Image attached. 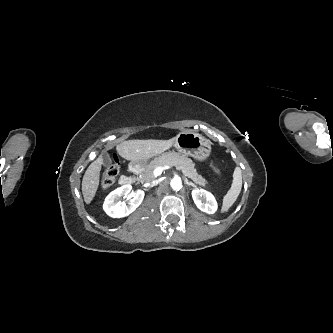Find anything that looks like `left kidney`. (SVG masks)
Here are the masks:
<instances>
[{"instance_id": "5707ae66", "label": "left kidney", "mask_w": 333, "mask_h": 333, "mask_svg": "<svg viewBox=\"0 0 333 333\" xmlns=\"http://www.w3.org/2000/svg\"><path fill=\"white\" fill-rule=\"evenodd\" d=\"M192 198L198 207L203 212L214 214L217 211V202L212 193L204 189H194Z\"/></svg>"}]
</instances>
